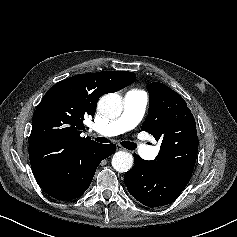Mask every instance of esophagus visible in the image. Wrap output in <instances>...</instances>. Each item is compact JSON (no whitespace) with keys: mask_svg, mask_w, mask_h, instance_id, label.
I'll list each match as a JSON object with an SVG mask.
<instances>
[{"mask_svg":"<svg viewBox=\"0 0 237 237\" xmlns=\"http://www.w3.org/2000/svg\"><path fill=\"white\" fill-rule=\"evenodd\" d=\"M117 150H125V148H123L121 145H117Z\"/></svg>","mask_w":237,"mask_h":237,"instance_id":"obj_1","label":"esophagus"}]
</instances>
